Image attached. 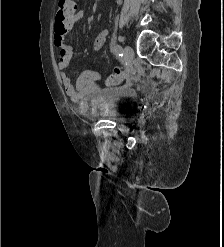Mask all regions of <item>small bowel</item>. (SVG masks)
<instances>
[{"mask_svg":"<svg viewBox=\"0 0 224 247\" xmlns=\"http://www.w3.org/2000/svg\"><path fill=\"white\" fill-rule=\"evenodd\" d=\"M83 17V11L76 12L74 16V23L78 22ZM107 34L108 31L103 30L97 35L93 44L94 50L98 51L103 47L107 38ZM65 35L66 34H61L56 31L54 34V45L59 49V59L57 66L60 71L61 81L67 95L73 101H79L97 93L100 90L101 75L100 73L93 70H83L78 74L75 82H72L71 78L66 72V68L69 66L72 59L73 49L66 43ZM119 70L120 69L116 68L115 72Z\"/></svg>","mask_w":224,"mask_h":247,"instance_id":"obj_1","label":"small bowel"}]
</instances>
